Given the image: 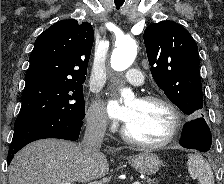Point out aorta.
Returning <instances> with one entry per match:
<instances>
[{"label": "aorta", "instance_id": "1", "mask_svg": "<svg viewBox=\"0 0 224 184\" xmlns=\"http://www.w3.org/2000/svg\"><path fill=\"white\" fill-rule=\"evenodd\" d=\"M137 54V44L134 39L124 37L116 42V47L111 55V67L115 71H124L134 62ZM133 96L130 89H123L122 97L129 98Z\"/></svg>", "mask_w": 224, "mask_h": 184}]
</instances>
